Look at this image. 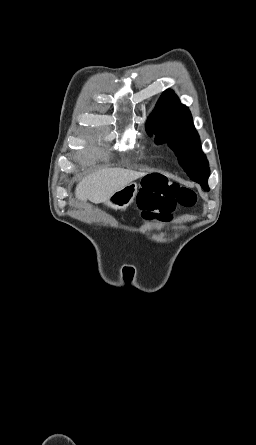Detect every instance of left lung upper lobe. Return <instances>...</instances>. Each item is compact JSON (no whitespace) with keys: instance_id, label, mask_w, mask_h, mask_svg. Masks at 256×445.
I'll return each mask as SVG.
<instances>
[{"instance_id":"obj_1","label":"left lung upper lobe","mask_w":256,"mask_h":445,"mask_svg":"<svg viewBox=\"0 0 256 445\" xmlns=\"http://www.w3.org/2000/svg\"><path fill=\"white\" fill-rule=\"evenodd\" d=\"M146 131L150 136L153 133L156 135L157 144L168 143L178 156L179 164L193 181H207L209 164L201 150L191 113L172 90L160 96L147 120Z\"/></svg>"}]
</instances>
